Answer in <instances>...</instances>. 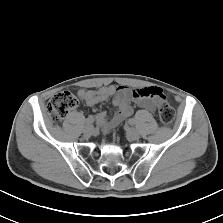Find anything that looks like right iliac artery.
<instances>
[{
    "label": "right iliac artery",
    "instance_id": "obj_1",
    "mask_svg": "<svg viewBox=\"0 0 223 223\" xmlns=\"http://www.w3.org/2000/svg\"><path fill=\"white\" fill-rule=\"evenodd\" d=\"M93 122H94V118L93 117L87 118V120L85 122V127L91 125Z\"/></svg>",
    "mask_w": 223,
    "mask_h": 223
}]
</instances>
